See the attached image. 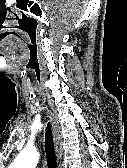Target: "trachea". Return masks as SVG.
Listing matches in <instances>:
<instances>
[{"instance_id":"obj_1","label":"trachea","mask_w":127,"mask_h":168,"mask_svg":"<svg viewBox=\"0 0 127 168\" xmlns=\"http://www.w3.org/2000/svg\"><path fill=\"white\" fill-rule=\"evenodd\" d=\"M45 152L48 168H57V158L50 123L47 124L45 129Z\"/></svg>"}]
</instances>
